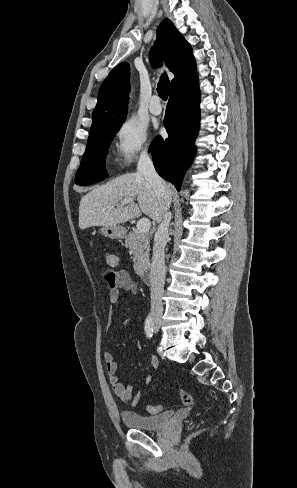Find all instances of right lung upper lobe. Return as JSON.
<instances>
[{
    "label": "right lung upper lobe",
    "instance_id": "cb5924a9",
    "mask_svg": "<svg viewBox=\"0 0 297 488\" xmlns=\"http://www.w3.org/2000/svg\"><path fill=\"white\" fill-rule=\"evenodd\" d=\"M162 60L175 76L171 81V90L197 76L191 46L169 19L160 24L157 41L150 52V62L154 67H160ZM129 78L130 67L124 62L116 66L104 80L93 111L90 134L101 127L122 125L127 114Z\"/></svg>",
    "mask_w": 297,
    "mask_h": 488
}]
</instances>
